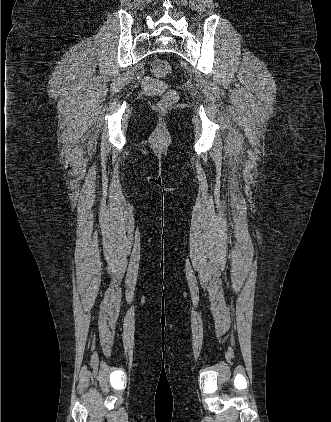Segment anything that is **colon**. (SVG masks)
I'll list each match as a JSON object with an SVG mask.
<instances>
[{"label": "colon", "instance_id": "obj_1", "mask_svg": "<svg viewBox=\"0 0 331 422\" xmlns=\"http://www.w3.org/2000/svg\"><path fill=\"white\" fill-rule=\"evenodd\" d=\"M151 71L156 77H164L170 73V65L165 60H155L151 65ZM177 100V94L173 91L165 93L158 102L160 109H167Z\"/></svg>", "mask_w": 331, "mask_h": 422}]
</instances>
